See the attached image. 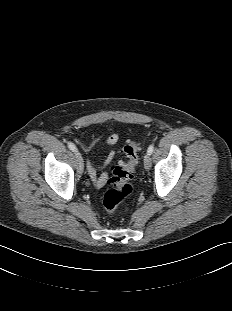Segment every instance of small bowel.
I'll list each match as a JSON object with an SVG mask.
<instances>
[{
    "label": "small bowel",
    "mask_w": 232,
    "mask_h": 311,
    "mask_svg": "<svg viewBox=\"0 0 232 311\" xmlns=\"http://www.w3.org/2000/svg\"><path fill=\"white\" fill-rule=\"evenodd\" d=\"M119 135L117 133L111 134L105 141V144L108 146L114 145L118 142ZM99 141V138H95L88 144H83L82 147L85 151H90ZM114 153L111 152L108 154L106 160L102 165H96L91 161H87V168L90 174V177L96 187H102L106 183L107 175L103 173L100 177H97V171L105 168L113 159Z\"/></svg>",
    "instance_id": "small-bowel-1"
}]
</instances>
